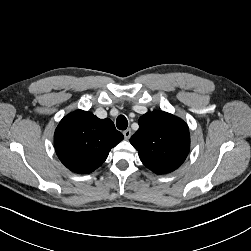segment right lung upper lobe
Segmentation results:
<instances>
[{
  "label": "right lung upper lobe",
  "instance_id": "cb5924a9",
  "mask_svg": "<svg viewBox=\"0 0 251 251\" xmlns=\"http://www.w3.org/2000/svg\"><path fill=\"white\" fill-rule=\"evenodd\" d=\"M123 138L109 118L99 119L91 112L77 110L60 121L54 147L68 169L87 174L100 167Z\"/></svg>",
  "mask_w": 251,
  "mask_h": 251
}]
</instances>
